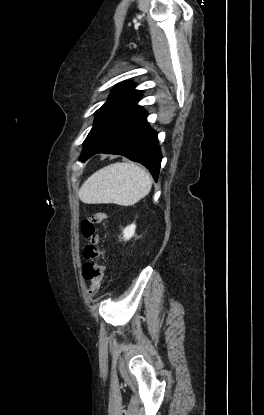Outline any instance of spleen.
<instances>
[{
  "label": "spleen",
  "mask_w": 264,
  "mask_h": 415,
  "mask_svg": "<svg viewBox=\"0 0 264 415\" xmlns=\"http://www.w3.org/2000/svg\"><path fill=\"white\" fill-rule=\"evenodd\" d=\"M148 172L136 164L114 163L93 173L78 191L86 204L130 206L145 197L151 189Z\"/></svg>",
  "instance_id": "obj_1"
}]
</instances>
